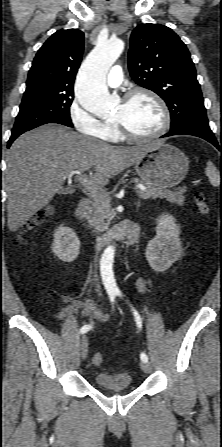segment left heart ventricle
I'll use <instances>...</instances> for the list:
<instances>
[{
    "label": "left heart ventricle",
    "instance_id": "b2bd125f",
    "mask_svg": "<svg viewBox=\"0 0 222 447\" xmlns=\"http://www.w3.org/2000/svg\"><path fill=\"white\" fill-rule=\"evenodd\" d=\"M138 135L155 133L162 125L163 117L159 106L148 96L138 95L127 103L121 102L114 114Z\"/></svg>",
    "mask_w": 222,
    "mask_h": 447
}]
</instances>
